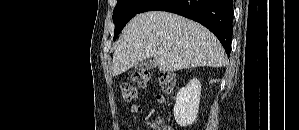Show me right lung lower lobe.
Returning <instances> with one entry per match:
<instances>
[{
    "label": "right lung lower lobe",
    "instance_id": "1",
    "mask_svg": "<svg viewBox=\"0 0 299 130\" xmlns=\"http://www.w3.org/2000/svg\"><path fill=\"white\" fill-rule=\"evenodd\" d=\"M152 10L176 13L201 23L215 34L227 55H230L233 31L232 0H148L139 13Z\"/></svg>",
    "mask_w": 299,
    "mask_h": 130
}]
</instances>
